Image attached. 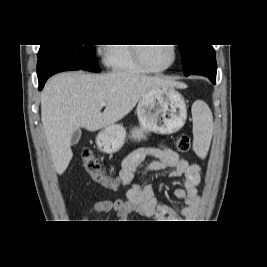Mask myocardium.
<instances>
[{"label": "myocardium", "mask_w": 267, "mask_h": 267, "mask_svg": "<svg viewBox=\"0 0 267 267\" xmlns=\"http://www.w3.org/2000/svg\"><path fill=\"white\" fill-rule=\"evenodd\" d=\"M170 45H171L172 52H173V58L167 66L162 67V68H154L147 63V61L145 60V58L143 56V51H142L143 46H141V44H134V46L132 48H133V54H134L136 61L143 68H145L149 72L161 73V72H165V71L169 70L171 67H173L174 64L176 63V60H177V48H176L177 46H175L173 44H170Z\"/></svg>", "instance_id": "f54148a6"}]
</instances>
